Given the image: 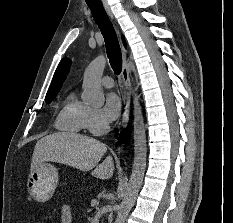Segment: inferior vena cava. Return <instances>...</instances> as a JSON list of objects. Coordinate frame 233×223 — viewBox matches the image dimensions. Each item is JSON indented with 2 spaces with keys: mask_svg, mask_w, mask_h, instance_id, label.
Wrapping results in <instances>:
<instances>
[{
  "mask_svg": "<svg viewBox=\"0 0 233 223\" xmlns=\"http://www.w3.org/2000/svg\"><path fill=\"white\" fill-rule=\"evenodd\" d=\"M101 127L104 133H108V131H110L109 121H107V119H101Z\"/></svg>",
  "mask_w": 233,
  "mask_h": 223,
  "instance_id": "obj_1",
  "label": "inferior vena cava"
}]
</instances>
